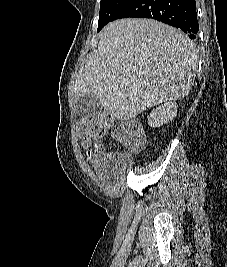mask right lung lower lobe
I'll use <instances>...</instances> for the list:
<instances>
[{
    "instance_id": "right-lung-lower-lobe-1",
    "label": "right lung lower lobe",
    "mask_w": 227,
    "mask_h": 267,
    "mask_svg": "<svg viewBox=\"0 0 227 267\" xmlns=\"http://www.w3.org/2000/svg\"><path fill=\"white\" fill-rule=\"evenodd\" d=\"M128 17L161 21L180 28L191 39L199 31L195 0H128L111 21Z\"/></svg>"
}]
</instances>
